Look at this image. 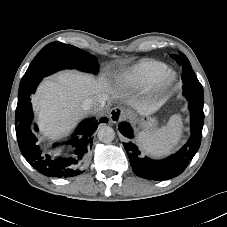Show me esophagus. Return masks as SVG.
Masks as SVG:
<instances>
[{"mask_svg":"<svg viewBox=\"0 0 227 227\" xmlns=\"http://www.w3.org/2000/svg\"><path fill=\"white\" fill-rule=\"evenodd\" d=\"M123 117V110L120 107L111 109L109 113V119L113 123L119 122Z\"/></svg>","mask_w":227,"mask_h":227,"instance_id":"34e87169","label":"esophagus"}]
</instances>
